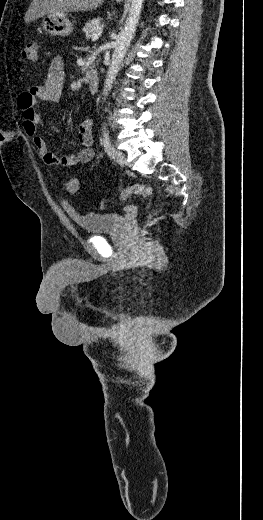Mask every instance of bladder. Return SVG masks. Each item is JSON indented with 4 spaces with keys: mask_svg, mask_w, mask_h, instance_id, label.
Wrapping results in <instances>:
<instances>
[{
    "mask_svg": "<svg viewBox=\"0 0 263 520\" xmlns=\"http://www.w3.org/2000/svg\"><path fill=\"white\" fill-rule=\"evenodd\" d=\"M73 219L86 234L99 235L118 232L125 228L127 219L119 213H85L76 214Z\"/></svg>",
    "mask_w": 263,
    "mask_h": 520,
    "instance_id": "bladder-1",
    "label": "bladder"
}]
</instances>
